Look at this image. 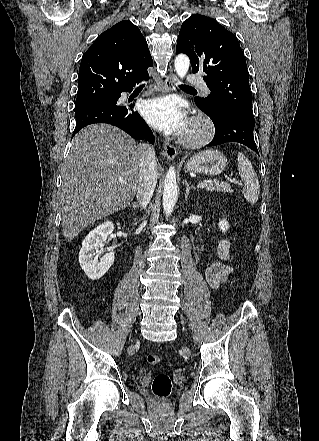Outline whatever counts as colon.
<instances>
[{
	"label": "colon",
	"mask_w": 319,
	"mask_h": 441,
	"mask_svg": "<svg viewBox=\"0 0 319 441\" xmlns=\"http://www.w3.org/2000/svg\"><path fill=\"white\" fill-rule=\"evenodd\" d=\"M147 361L151 365H158L161 362L159 355L150 354L147 356ZM172 390V382L166 373L157 374L152 382V392L158 399L167 398Z\"/></svg>",
	"instance_id": "obj_1"
}]
</instances>
